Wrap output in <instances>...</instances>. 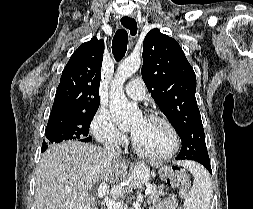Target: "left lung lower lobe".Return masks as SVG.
Masks as SVG:
<instances>
[{
    "label": "left lung lower lobe",
    "mask_w": 253,
    "mask_h": 209,
    "mask_svg": "<svg viewBox=\"0 0 253 209\" xmlns=\"http://www.w3.org/2000/svg\"><path fill=\"white\" fill-rule=\"evenodd\" d=\"M177 159V158H176ZM180 160V159H179ZM194 161H197L199 163H201L204 167H206V169L211 173V165H210V161L209 159H197V160H194Z\"/></svg>",
    "instance_id": "left-lung-lower-lobe-1"
}]
</instances>
